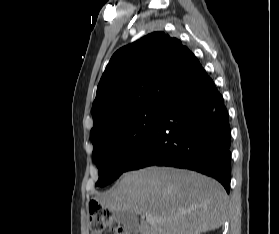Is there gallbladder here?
<instances>
[{
    "instance_id": "gallbladder-1",
    "label": "gallbladder",
    "mask_w": 279,
    "mask_h": 234,
    "mask_svg": "<svg viewBox=\"0 0 279 234\" xmlns=\"http://www.w3.org/2000/svg\"><path fill=\"white\" fill-rule=\"evenodd\" d=\"M117 219L131 232L137 234L138 222L134 214L128 211H120L115 213Z\"/></svg>"
}]
</instances>
